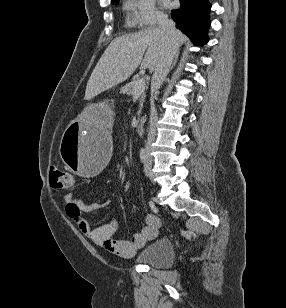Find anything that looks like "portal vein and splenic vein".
<instances>
[{
    "mask_svg": "<svg viewBox=\"0 0 286 308\" xmlns=\"http://www.w3.org/2000/svg\"><path fill=\"white\" fill-rule=\"evenodd\" d=\"M145 86V79L141 78L134 86V95L136 96L141 94L144 91Z\"/></svg>",
    "mask_w": 286,
    "mask_h": 308,
    "instance_id": "portal-vein-and-splenic-vein-1",
    "label": "portal vein and splenic vein"
}]
</instances>
